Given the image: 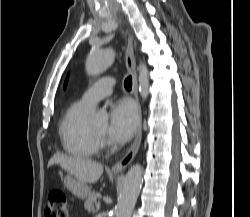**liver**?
Segmentation results:
<instances>
[{"label":"liver","instance_id":"obj_1","mask_svg":"<svg viewBox=\"0 0 250 217\" xmlns=\"http://www.w3.org/2000/svg\"><path fill=\"white\" fill-rule=\"evenodd\" d=\"M60 165L81 183H95L103 173V166L89 159L71 157L64 154H54L48 162V167Z\"/></svg>","mask_w":250,"mask_h":217}]
</instances>
